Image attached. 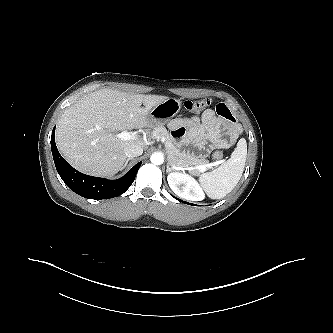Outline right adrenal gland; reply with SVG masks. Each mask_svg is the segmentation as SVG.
Masks as SVG:
<instances>
[{"label": "right adrenal gland", "instance_id": "right-adrenal-gland-1", "mask_svg": "<svg viewBox=\"0 0 333 333\" xmlns=\"http://www.w3.org/2000/svg\"><path fill=\"white\" fill-rule=\"evenodd\" d=\"M132 159H133V158H128V159L125 161V163H124L122 169L125 168V167L127 166L128 162H129L130 160H132Z\"/></svg>", "mask_w": 333, "mask_h": 333}]
</instances>
